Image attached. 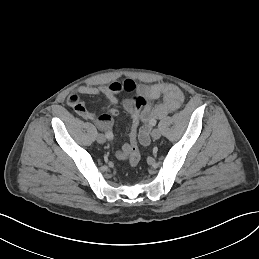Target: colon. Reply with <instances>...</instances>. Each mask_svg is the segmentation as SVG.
<instances>
[{"instance_id": "obj_1", "label": "colon", "mask_w": 259, "mask_h": 259, "mask_svg": "<svg viewBox=\"0 0 259 259\" xmlns=\"http://www.w3.org/2000/svg\"><path fill=\"white\" fill-rule=\"evenodd\" d=\"M134 110L132 112V124L130 132V145H129V165L136 167L140 162V150L137 141V129L141 121V111L147 105V100L141 95H135L133 98Z\"/></svg>"}]
</instances>
